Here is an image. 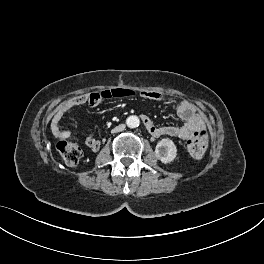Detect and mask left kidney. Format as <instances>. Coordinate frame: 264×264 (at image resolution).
Segmentation results:
<instances>
[{"label": "left kidney", "instance_id": "left-kidney-1", "mask_svg": "<svg viewBox=\"0 0 264 264\" xmlns=\"http://www.w3.org/2000/svg\"><path fill=\"white\" fill-rule=\"evenodd\" d=\"M155 155L162 163H170L177 156L176 145L171 139L164 138L157 143Z\"/></svg>", "mask_w": 264, "mask_h": 264}]
</instances>
